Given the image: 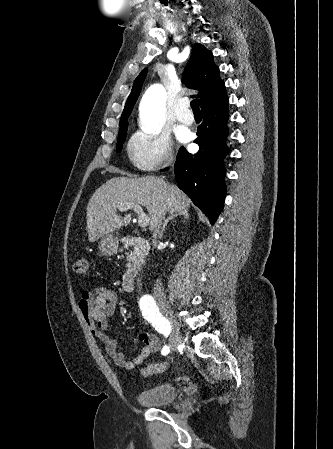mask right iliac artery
Returning <instances> with one entry per match:
<instances>
[{"label":"right iliac artery","instance_id":"1","mask_svg":"<svg viewBox=\"0 0 333 449\" xmlns=\"http://www.w3.org/2000/svg\"><path fill=\"white\" fill-rule=\"evenodd\" d=\"M139 306L143 317L148 320L152 326L165 337H168L171 327L167 319H165L154 301V299L149 295H144L140 301ZM170 352L169 346L165 345L161 351L163 355Z\"/></svg>","mask_w":333,"mask_h":449}]
</instances>
